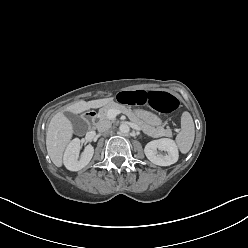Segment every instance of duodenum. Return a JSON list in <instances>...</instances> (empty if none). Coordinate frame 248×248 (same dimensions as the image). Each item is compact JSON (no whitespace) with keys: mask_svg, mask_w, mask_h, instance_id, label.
<instances>
[{"mask_svg":"<svg viewBox=\"0 0 248 248\" xmlns=\"http://www.w3.org/2000/svg\"><path fill=\"white\" fill-rule=\"evenodd\" d=\"M96 116H97V111H95V110H90V111H88L87 114H86V118H87V120H89V121H92L93 119H95Z\"/></svg>","mask_w":248,"mask_h":248,"instance_id":"1","label":"duodenum"}]
</instances>
